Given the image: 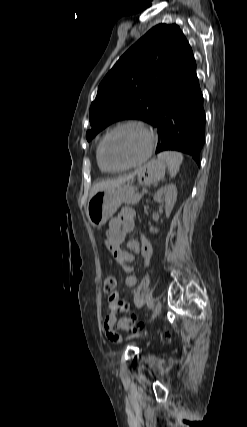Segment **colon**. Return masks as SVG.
Returning a JSON list of instances; mask_svg holds the SVG:
<instances>
[{"instance_id":"obj_1","label":"colon","mask_w":247,"mask_h":427,"mask_svg":"<svg viewBox=\"0 0 247 427\" xmlns=\"http://www.w3.org/2000/svg\"><path fill=\"white\" fill-rule=\"evenodd\" d=\"M118 280L115 275L108 274L104 279V289L106 292L113 293L117 288ZM139 324L134 316L123 317L118 322V327L124 331L134 332L138 329Z\"/></svg>"}]
</instances>
